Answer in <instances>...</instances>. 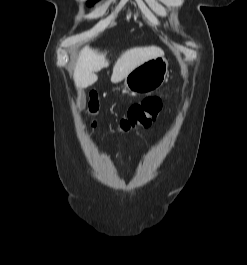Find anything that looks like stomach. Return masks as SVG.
<instances>
[{
    "instance_id": "1",
    "label": "stomach",
    "mask_w": 247,
    "mask_h": 265,
    "mask_svg": "<svg viewBox=\"0 0 247 265\" xmlns=\"http://www.w3.org/2000/svg\"><path fill=\"white\" fill-rule=\"evenodd\" d=\"M168 61L164 56L144 62L124 78V87L133 93L149 94L166 80Z\"/></svg>"
}]
</instances>
